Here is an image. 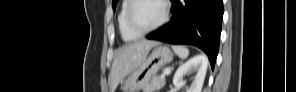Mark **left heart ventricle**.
Wrapping results in <instances>:
<instances>
[{
    "instance_id": "b2bd125f",
    "label": "left heart ventricle",
    "mask_w": 296,
    "mask_h": 92,
    "mask_svg": "<svg viewBox=\"0 0 296 92\" xmlns=\"http://www.w3.org/2000/svg\"><path fill=\"white\" fill-rule=\"evenodd\" d=\"M162 16V6L158 1H141L133 12V20L141 29L155 25Z\"/></svg>"
}]
</instances>
